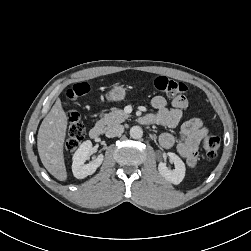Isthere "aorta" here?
Masks as SVG:
<instances>
[{
    "instance_id": "obj_1",
    "label": "aorta",
    "mask_w": 251,
    "mask_h": 251,
    "mask_svg": "<svg viewBox=\"0 0 251 251\" xmlns=\"http://www.w3.org/2000/svg\"><path fill=\"white\" fill-rule=\"evenodd\" d=\"M130 136L133 139H140L143 136V130L139 126H133L130 129Z\"/></svg>"
}]
</instances>
